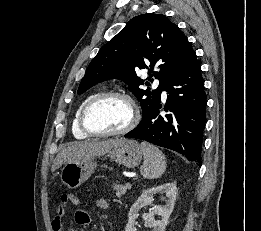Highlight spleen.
Listing matches in <instances>:
<instances>
[{
  "instance_id": "obj_1",
  "label": "spleen",
  "mask_w": 261,
  "mask_h": 231,
  "mask_svg": "<svg viewBox=\"0 0 261 231\" xmlns=\"http://www.w3.org/2000/svg\"><path fill=\"white\" fill-rule=\"evenodd\" d=\"M141 148L144 162L140 168L142 176L146 179H157L166 170V160L164 154L155 146L142 142Z\"/></svg>"
}]
</instances>
